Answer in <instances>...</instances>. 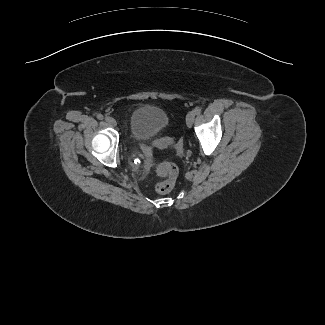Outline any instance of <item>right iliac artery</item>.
Wrapping results in <instances>:
<instances>
[{
    "instance_id": "82829eb1",
    "label": "right iliac artery",
    "mask_w": 325,
    "mask_h": 325,
    "mask_svg": "<svg viewBox=\"0 0 325 325\" xmlns=\"http://www.w3.org/2000/svg\"><path fill=\"white\" fill-rule=\"evenodd\" d=\"M103 118H104V117H103L102 114H98V115H97V119H99V120H103Z\"/></svg>"
}]
</instances>
